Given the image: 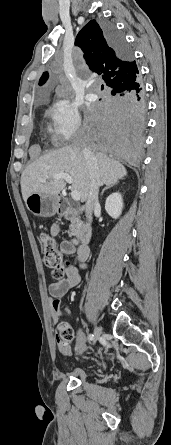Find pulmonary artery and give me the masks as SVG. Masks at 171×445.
<instances>
[{
	"label": "pulmonary artery",
	"mask_w": 171,
	"mask_h": 445,
	"mask_svg": "<svg viewBox=\"0 0 171 445\" xmlns=\"http://www.w3.org/2000/svg\"><path fill=\"white\" fill-rule=\"evenodd\" d=\"M86 98H87L89 101H93V100L96 99V96H95L94 94H88V95L86 96Z\"/></svg>",
	"instance_id": "e3ab8cb5"
}]
</instances>
